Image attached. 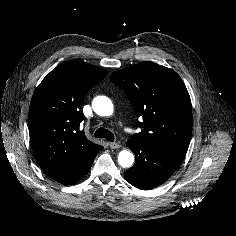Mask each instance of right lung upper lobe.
<instances>
[{"label":"right lung upper lobe","mask_w":236,"mask_h":236,"mask_svg":"<svg viewBox=\"0 0 236 236\" xmlns=\"http://www.w3.org/2000/svg\"><path fill=\"white\" fill-rule=\"evenodd\" d=\"M106 75V70L70 60L53 69L35 90L28 128L34 157L45 172L92 157L103 148L89 141L79 126L85 94Z\"/></svg>","instance_id":"right-lung-upper-lobe-1"}]
</instances>
